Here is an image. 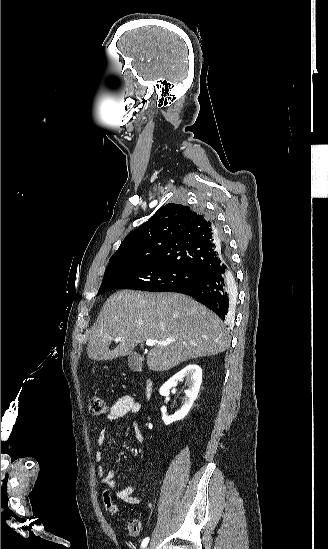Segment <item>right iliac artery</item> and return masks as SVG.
<instances>
[{
  "label": "right iliac artery",
  "instance_id": "right-iliac-artery-1",
  "mask_svg": "<svg viewBox=\"0 0 328 549\" xmlns=\"http://www.w3.org/2000/svg\"><path fill=\"white\" fill-rule=\"evenodd\" d=\"M148 542H149V537L145 538V539L142 541L141 547L144 548L145 546H147Z\"/></svg>",
  "mask_w": 328,
  "mask_h": 549
}]
</instances>
